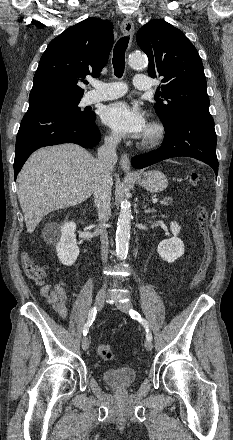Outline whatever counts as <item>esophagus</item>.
Masks as SVG:
<instances>
[{
  "mask_svg": "<svg viewBox=\"0 0 233 440\" xmlns=\"http://www.w3.org/2000/svg\"><path fill=\"white\" fill-rule=\"evenodd\" d=\"M121 30L125 36L132 37L134 33V24L130 18H125L121 23ZM120 167L126 173L131 174L130 170V159L126 154H122L120 157Z\"/></svg>",
  "mask_w": 233,
  "mask_h": 440,
  "instance_id": "obj_1",
  "label": "esophagus"
}]
</instances>
